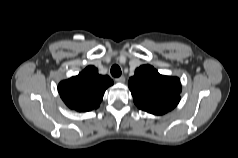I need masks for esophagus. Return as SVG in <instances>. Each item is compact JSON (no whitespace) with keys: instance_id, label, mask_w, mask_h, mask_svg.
<instances>
[{"instance_id":"esophagus-1","label":"esophagus","mask_w":238,"mask_h":158,"mask_svg":"<svg viewBox=\"0 0 238 158\" xmlns=\"http://www.w3.org/2000/svg\"><path fill=\"white\" fill-rule=\"evenodd\" d=\"M115 82H117V83H124L125 82V77L124 76H120V77L115 79Z\"/></svg>"}]
</instances>
